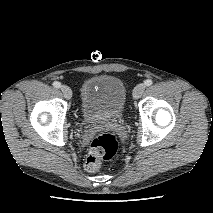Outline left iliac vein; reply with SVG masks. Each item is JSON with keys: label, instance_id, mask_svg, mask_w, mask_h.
Wrapping results in <instances>:
<instances>
[{"label": "left iliac vein", "instance_id": "1", "mask_svg": "<svg viewBox=\"0 0 213 213\" xmlns=\"http://www.w3.org/2000/svg\"><path fill=\"white\" fill-rule=\"evenodd\" d=\"M145 90V85L143 83L138 84L133 90L134 99H139Z\"/></svg>", "mask_w": 213, "mask_h": 213}]
</instances>
